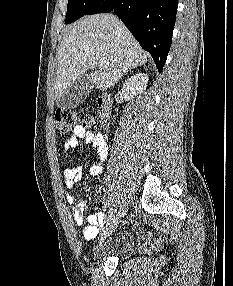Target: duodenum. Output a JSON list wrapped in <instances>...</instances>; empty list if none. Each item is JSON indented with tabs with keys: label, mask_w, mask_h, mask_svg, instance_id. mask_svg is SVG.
I'll use <instances>...</instances> for the list:
<instances>
[{
	"label": "duodenum",
	"mask_w": 233,
	"mask_h": 286,
	"mask_svg": "<svg viewBox=\"0 0 233 286\" xmlns=\"http://www.w3.org/2000/svg\"><path fill=\"white\" fill-rule=\"evenodd\" d=\"M98 116L103 127L107 128L111 113V103L106 94H102L97 99Z\"/></svg>",
	"instance_id": "410a0bca"
}]
</instances>
